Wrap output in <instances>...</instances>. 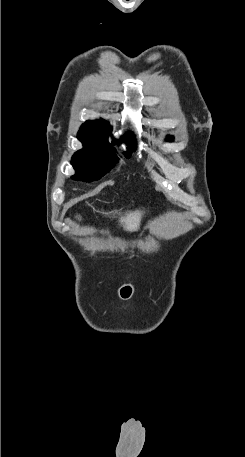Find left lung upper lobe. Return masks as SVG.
<instances>
[{"label":"left lung upper lobe","instance_id":"1","mask_svg":"<svg viewBox=\"0 0 245 457\" xmlns=\"http://www.w3.org/2000/svg\"><path fill=\"white\" fill-rule=\"evenodd\" d=\"M172 139H173L172 137H168L167 138L168 141H172Z\"/></svg>","mask_w":245,"mask_h":457}]
</instances>
